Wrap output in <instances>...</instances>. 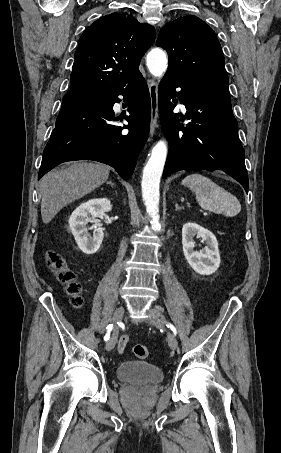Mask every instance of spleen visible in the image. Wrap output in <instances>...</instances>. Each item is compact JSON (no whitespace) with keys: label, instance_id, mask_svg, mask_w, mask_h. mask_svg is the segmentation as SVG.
<instances>
[{"label":"spleen","instance_id":"1","mask_svg":"<svg viewBox=\"0 0 281 453\" xmlns=\"http://www.w3.org/2000/svg\"><path fill=\"white\" fill-rule=\"evenodd\" d=\"M182 184L195 192L196 200L204 210L225 216H235L241 210V204L234 194H230L203 174H188L183 178Z\"/></svg>","mask_w":281,"mask_h":453}]
</instances>
